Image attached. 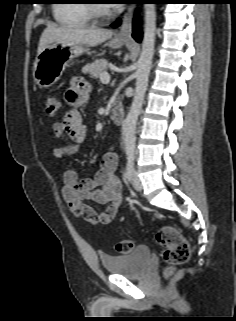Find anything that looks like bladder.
Instances as JSON below:
<instances>
[{
	"instance_id": "obj_1",
	"label": "bladder",
	"mask_w": 236,
	"mask_h": 321,
	"mask_svg": "<svg viewBox=\"0 0 236 321\" xmlns=\"http://www.w3.org/2000/svg\"><path fill=\"white\" fill-rule=\"evenodd\" d=\"M150 258V248L147 245L141 244L128 254L102 255L100 259L105 270L110 274L137 277L144 272Z\"/></svg>"
}]
</instances>
